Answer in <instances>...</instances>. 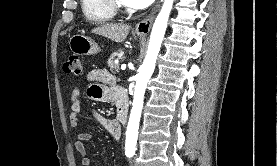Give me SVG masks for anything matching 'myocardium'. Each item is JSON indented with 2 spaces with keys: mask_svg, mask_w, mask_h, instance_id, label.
Listing matches in <instances>:
<instances>
[{
  "mask_svg": "<svg viewBox=\"0 0 277 166\" xmlns=\"http://www.w3.org/2000/svg\"><path fill=\"white\" fill-rule=\"evenodd\" d=\"M109 8L115 13L124 12L125 8L121 0H105Z\"/></svg>",
  "mask_w": 277,
  "mask_h": 166,
  "instance_id": "1",
  "label": "myocardium"
}]
</instances>
